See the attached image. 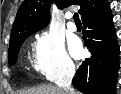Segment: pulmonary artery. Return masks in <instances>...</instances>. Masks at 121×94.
<instances>
[{"label": "pulmonary artery", "mask_w": 121, "mask_h": 94, "mask_svg": "<svg viewBox=\"0 0 121 94\" xmlns=\"http://www.w3.org/2000/svg\"><path fill=\"white\" fill-rule=\"evenodd\" d=\"M67 18L69 19L68 23H67V28L70 31H76L77 27L75 25V23L72 21V14L68 13L67 14Z\"/></svg>", "instance_id": "1"}]
</instances>
